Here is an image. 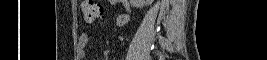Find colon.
Here are the masks:
<instances>
[{"mask_svg":"<svg viewBox=\"0 0 267 60\" xmlns=\"http://www.w3.org/2000/svg\"><path fill=\"white\" fill-rule=\"evenodd\" d=\"M84 20L87 23H93L103 15V7L98 1H84L82 5Z\"/></svg>","mask_w":267,"mask_h":60,"instance_id":"1","label":"colon"}]
</instances>
